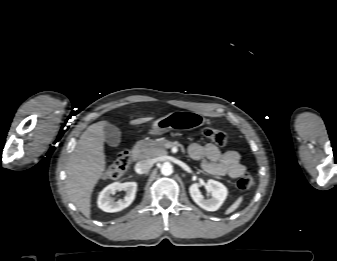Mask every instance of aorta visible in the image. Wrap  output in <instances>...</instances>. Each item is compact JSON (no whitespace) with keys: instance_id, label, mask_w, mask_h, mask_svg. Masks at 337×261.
I'll list each match as a JSON object with an SVG mask.
<instances>
[{"instance_id":"762f6f07","label":"aorta","mask_w":337,"mask_h":261,"mask_svg":"<svg viewBox=\"0 0 337 261\" xmlns=\"http://www.w3.org/2000/svg\"><path fill=\"white\" fill-rule=\"evenodd\" d=\"M161 173L165 176L171 175L173 173V166L169 162H164L161 165Z\"/></svg>"}]
</instances>
